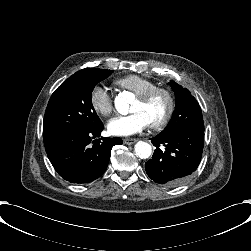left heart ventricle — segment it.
I'll list each match as a JSON object with an SVG mask.
<instances>
[{
  "label": "left heart ventricle",
  "mask_w": 251,
  "mask_h": 251,
  "mask_svg": "<svg viewBox=\"0 0 251 251\" xmlns=\"http://www.w3.org/2000/svg\"><path fill=\"white\" fill-rule=\"evenodd\" d=\"M168 108V98L164 93L156 94L150 102H143L137 98L133 105V110H142L149 117L150 121H155L164 116Z\"/></svg>",
  "instance_id": "1"
}]
</instances>
